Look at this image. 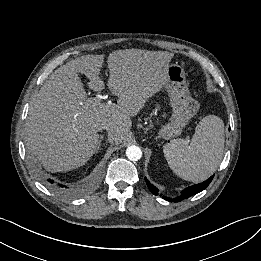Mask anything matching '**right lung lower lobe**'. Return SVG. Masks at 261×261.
<instances>
[{
  "instance_id": "right-lung-lower-lobe-1",
  "label": "right lung lower lobe",
  "mask_w": 261,
  "mask_h": 261,
  "mask_svg": "<svg viewBox=\"0 0 261 261\" xmlns=\"http://www.w3.org/2000/svg\"><path fill=\"white\" fill-rule=\"evenodd\" d=\"M47 184H48V186L53 187V188L57 189L60 192H63V193H73L72 191L67 190L68 187L65 186V185L57 184V186H55L54 185V180H52V179H47Z\"/></svg>"
}]
</instances>
